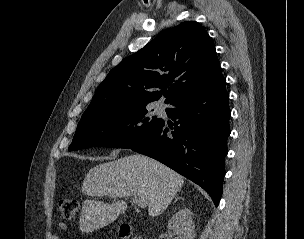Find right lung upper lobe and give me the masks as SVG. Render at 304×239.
Listing matches in <instances>:
<instances>
[{
	"label": "right lung upper lobe",
	"mask_w": 304,
	"mask_h": 239,
	"mask_svg": "<svg viewBox=\"0 0 304 239\" xmlns=\"http://www.w3.org/2000/svg\"><path fill=\"white\" fill-rule=\"evenodd\" d=\"M220 71L214 43L205 29L195 21L183 22L114 67L81 118L120 106L147 105L163 93L165 103H170Z\"/></svg>",
	"instance_id": "cb5924a9"
}]
</instances>
